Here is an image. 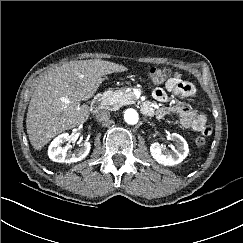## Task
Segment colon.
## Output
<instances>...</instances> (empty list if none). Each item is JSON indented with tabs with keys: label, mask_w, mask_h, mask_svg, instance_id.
<instances>
[{
	"label": "colon",
	"mask_w": 243,
	"mask_h": 243,
	"mask_svg": "<svg viewBox=\"0 0 243 243\" xmlns=\"http://www.w3.org/2000/svg\"><path fill=\"white\" fill-rule=\"evenodd\" d=\"M171 75V70L169 68H152L148 73V81L152 85H158L163 83ZM198 146H203L206 143V138L204 136H198L195 140Z\"/></svg>",
	"instance_id": "5ec220e1"
}]
</instances>
